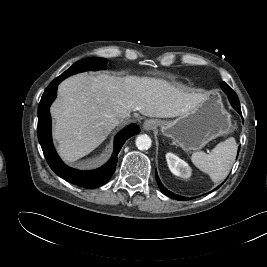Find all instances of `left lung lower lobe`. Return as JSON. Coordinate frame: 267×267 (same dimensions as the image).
<instances>
[{
    "instance_id": "left-lung-lower-lobe-1",
    "label": "left lung lower lobe",
    "mask_w": 267,
    "mask_h": 267,
    "mask_svg": "<svg viewBox=\"0 0 267 267\" xmlns=\"http://www.w3.org/2000/svg\"><path fill=\"white\" fill-rule=\"evenodd\" d=\"M223 91L228 95L229 101L232 104L233 108L239 113L241 114V108L239 105V99L238 96L236 95V93L229 87V86H222ZM156 176V180L158 183L159 188L161 189V191L169 196L170 198L176 199V200H186L187 198L176 195L172 192H169L160 182L159 177L157 175V172L155 173ZM219 187V186H218ZM217 187V188H218Z\"/></svg>"
}]
</instances>
